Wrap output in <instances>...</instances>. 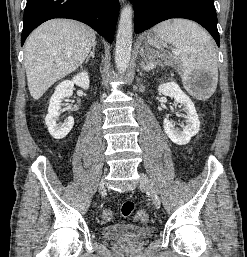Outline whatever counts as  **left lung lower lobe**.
<instances>
[{"label":"left lung lower lobe","mask_w":247,"mask_h":257,"mask_svg":"<svg viewBox=\"0 0 247 257\" xmlns=\"http://www.w3.org/2000/svg\"><path fill=\"white\" fill-rule=\"evenodd\" d=\"M134 30L143 32L170 18H185L202 25L220 46L213 0H133Z\"/></svg>","instance_id":"0a47b994"}]
</instances>
